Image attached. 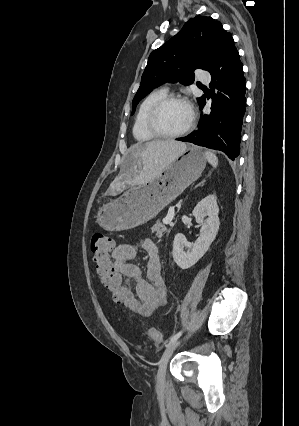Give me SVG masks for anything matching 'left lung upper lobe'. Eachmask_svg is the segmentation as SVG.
I'll return each instance as SVG.
<instances>
[{"label": "left lung upper lobe", "mask_w": 299, "mask_h": 426, "mask_svg": "<svg viewBox=\"0 0 299 426\" xmlns=\"http://www.w3.org/2000/svg\"><path fill=\"white\" fill-rule=\"evenodd\" d=\"M235 50L232 35L219 21L202 16L190 19L178 34L150 54L132 101V114L137 103L154 88L166 82L189 85L194 81L195 69L210 72Z\"/></svg>", "instance_id": "left-lung-upper-lobe-1"}]
</instances>
